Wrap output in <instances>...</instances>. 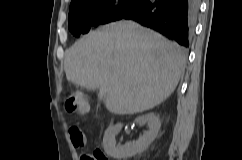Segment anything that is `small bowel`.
I'll return each mask as SVG.
<instances>
[{
    "mask_svg": "<svg viewBox=\"0 0 242 160\" xmlns=\"http://www.w3.org/2000/svg\"><path fill=\"white\" fill-rule=\"evenodd\" d=\"M85 156H86V154L81 155L80 160H84Z\"/></svg>",
    "mask_w": 242,
    "mask_h": 160,
    "instance_id": "c3829d8e",
    "label": "small bowel"
}]
</instances>
